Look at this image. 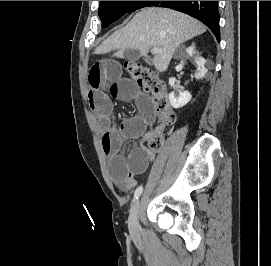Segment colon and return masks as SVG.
Returning a JSON list of instances; mask_svg holds the SVG:
<instances>
[{
  "label": "colon",
  "instance_id": "5ec220e1",
  "mask_svg": "<svg viewBox=\"0 0 271 266\" xmlns=\"http://www.w3.org/2000/svg\"><path fill=\"white\" fill-rule=\"evenodd\" d=\"M123 66L131 79L151 94L153 107L160 120L165 124L174 123L175 114L170 106L167 86L159 74L134 61H126ZM162 143L161 133H156L149 139V146L152 151H158Z\"/></svg>",
  "mask_w": 271,
  "mask_h": 266
}]
</instances>
